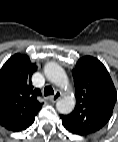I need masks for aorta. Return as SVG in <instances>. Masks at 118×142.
Listing matches in <instances>:
<instances>
[{
	"label": "aorta",
	"mask_w": 118,
	"mask_h": 142,
	"mask_svg": "<svg viewBox=\"0 0 118 142\" xmlns=\"http://www.w3.org/2000/svg\"><path fill=\"white\" fill-rule=\"evenodd\" d=\"M44 74L46 78L56 86L65 89L69 87V80L67 74L65 73L64 69L57 63H47L44 67ZM74 107L75 98L74 96L70 95L62 97L56 103V109L61 114H69L73 111Z\"/></svg>",
	"instance_id": "762f6f07"
}]
</instances>
